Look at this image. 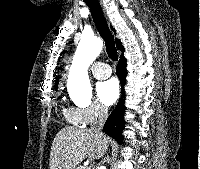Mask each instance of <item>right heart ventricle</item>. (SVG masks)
I'll list each match as a JSON object with an SVG mask.
<instances>
[{"mask_svg": "<svg viewBox=\"0 0 200 169\" xmlns=\"http://www.w3.org/2000/svg\"><path fill=\"white\" fill-rule=\"evenodd\" d=\"M63 113H64V116L66 118V120L75 125V126H81V122H80V119H79V116L78 114L76 113L75 109L73 108H70V109H64L63 110Z\"/></svg>", "mask_w": 200, "mask_h": 169, "instance_id": "1", "label": "right heart ventricle"}]
</instances>
